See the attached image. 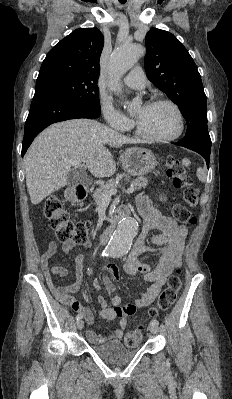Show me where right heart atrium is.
Segmentation results:
<instances>
[{"mask_svg":"<svg viewBox=\"0 0 232 399\" xmlns=\"http://www.w3.org/2000/svg\"><path fill=\"white\" fill-rule=\"evenodd\" d=\"M101 111L107 125H113V130H123L130 126L128 119L112 107L102 106Z\"/></svg>","mask_w":232,"mask_h":399,"instance_id":"right-heart-atrium-1","label":"right heart atrium"}]
</instances>
